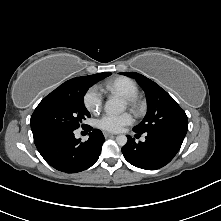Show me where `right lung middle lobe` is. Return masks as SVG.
I'll return each instance as SVG.
<instances>
[{"label":"right lung middle lobe","instance_id":"obj_1","mask_svg":"<svg viewBox=\"0 0 221 221\" xmlns=\"http://www.w3.org/2000/svg\"><path fill=\"white\" fill-rule=\"evenodd\" d=\"M109 75L111 73L106 72L73 78L69 85L52 91L39 103L31 116L32 132L55 127L79 128L82 121L90 117L83 100L86 91Z\"/></svg>","mask_w":221,"mask_h":221}]
</instances>
